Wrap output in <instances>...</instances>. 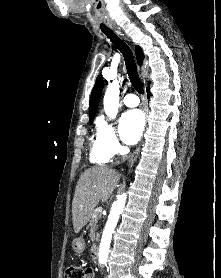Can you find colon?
Segmentation results:
<instances>
[{
  "mask_svg": "<svg viewBox=\"0 0 221 278\" xmlns=\"http://www.w3.org/2000/svg\"><path fill=\"white\" fill-rule=\"evenodd\" d=\"M86 270L79 265H70L65 271V278H84Z\"/></svg>",
  "mask_w": 221,
  "mask_h": 278,
  "instance_id": "colon-1",
  "label": "colon"
}]
</instances>
